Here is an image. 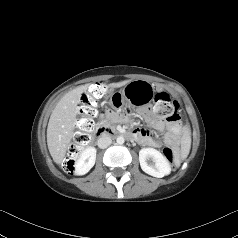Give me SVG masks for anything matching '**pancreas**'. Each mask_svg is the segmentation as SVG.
<instances>
[{"label":"pancreas","instance_id":"1","mask_svg":"<svg viewBox=\"0 0 238 238\" xmlns=\"http://www.w3.org/2000/svg\"><path fill=\"white\" fill-rule=\"evenodd\" d=\"M103 124H104V125H106V124H107V122H105V121H104V122H103Z\"/></svg>","mask_w":238,"mask_h":238}]
</instances>
